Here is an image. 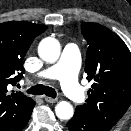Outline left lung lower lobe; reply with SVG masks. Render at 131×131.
Returning <instances> with one entry per match:
<instances>
[{
  "mask_svg": "<svg viewBox=\"0 0 131 131\" xmlns=\"http://www.w3.org/2000/svg\"><path fill=\"white\" fill-rule=\"evenodd\" d=\"M70 131H107L101 128L90 116L75 110L71 120L67 122Z\"/></svg>",
  "mask_w": 131,
  "mask_h": 131,
  "instance_id": "1",
  "label": "left lung lower lobe"
}]
</instances>
